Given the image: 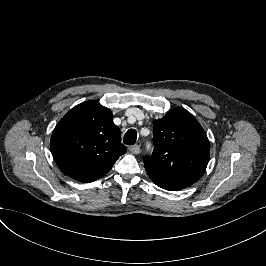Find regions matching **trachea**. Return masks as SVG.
Returning a JSON list of instances; mask_svg holds the SVG:
<instances>
[{
  "label": "trachea",
  "instance_id": "obj_1",
  "mask_svg": "<svg viewBox=\"0 0 266 266\" xmlns=\"http://www.w3.org/2000/svg\"><path fill=\"white\" fill-rule=\"evenodd\" d=\"M137 139V132L134 129H130L124 135V144L126 145H133L135 144Z\"/></svg>",
  "mask_w": 266,
  "mask_h": 266
}]
</instances>
